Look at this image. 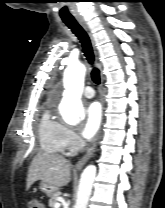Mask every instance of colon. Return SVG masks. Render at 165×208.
Returning a JSON list of instances; mask_svg holds the SVG:
<instances>
[{
  "mask_svg": "<svg viewBox=\"0 0 165 208\" xmlns=\"http://www.w3.org/2000/svg\"><path fill=\"white\" fill-rule=\"evenodd\" d=\"M28 208H43V206L38 200H31L28 204Z\"/></svg>",
  "mask_w": 165,
  "mask_h": 208,
  "instance_id": "obj_1",
  "label": "colon"
}]
</instances>
